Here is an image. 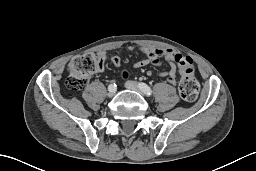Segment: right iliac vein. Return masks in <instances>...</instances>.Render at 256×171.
I'll list each match as a JSON object with an SVG mask.
<instances>
[{"label":"right iliac vein","mask_w":256,"mask_h":171,"mask_svg":"<svg viewBox=\"0 0 256 171\" xmlns=\"http://www.w3.org/2000/svg\"><path fill=\"white\" fill-rule=\"evenodd\" d=\"M116 90L110 89L108 92V97L112 98L115 95Z\"/></svg>","instance_id":"1"}]
</instances>
